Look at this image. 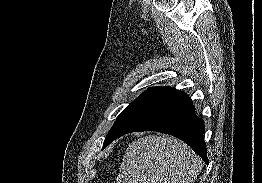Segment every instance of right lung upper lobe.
<instances>
[{"mask_svg":"<svg viewBox=\"0 0 262 183\" xmlns=\"http://www.w3.org/2000/svg\"><path fill=\"white\" fill-rule=\"evenodd\" d=\"M162 88L164 87H152V88H149L147 91L145 92H158L159 90H161Z\"/></svg>","mask_w":262,"mask_h":183,"instance_id":"obj_1","label":"right lung upper lobe"}]
</instances>
